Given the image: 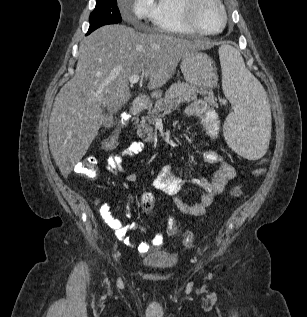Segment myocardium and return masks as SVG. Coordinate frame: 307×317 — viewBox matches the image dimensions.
I'll use <instances>...</instances> for the list:
<instances>
[{"label": "myocardium", "mask_w": 307, "mask_h": 317, "mask_svg": "<svg viewBox=\"0 0 307 317\" xmlns=\"http://www.w3.org/2000/svg\"><path fill=\"white\" fill-rule=\"evenodd\" d=\"M205 0H182V9L184 13L185 21L187 22L188 26L194 30L196 33L201 35H215L224 30L228 21V14L225 9V6L222 0H210L211 2L215 3L221 12L222 23L219 29L215 31H207L204 30L197 20V9L199 5L204 2Z\"/></svg>", "instance_id": "myocardium-1"}]
</instances>
